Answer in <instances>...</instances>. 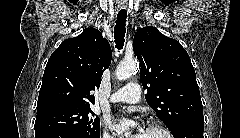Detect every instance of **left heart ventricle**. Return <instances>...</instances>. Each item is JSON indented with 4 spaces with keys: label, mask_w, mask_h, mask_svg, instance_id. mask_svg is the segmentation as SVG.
<instances>
[{
    "label": "left heart ventricle",
    "mask_w": 240,
    "mask_h": 138,
    "mask_svg": "<svg viewBox=\"0 0 240 138\" xmlns=\"http://www.w3.org/2000/svg\"><path fill=\"white\" fill-rule=\"evenodd\" d=\"M142 138H165L164 134L154 130H145Z\"/></svg>",
    "instance_id": "b2bd125f"
}]
</instances>
